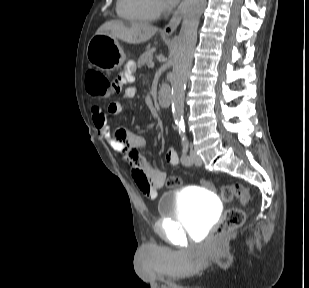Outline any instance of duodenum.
<instances>
[{"label":"duodenum","instance_id":"1","mask_svg":"<svg viewBox=\"0 0 309 288\" xmlns=\"http://www.w3.org/2000/svg\"><path fill=\"white\" fill-rule=\"evenodd\" d=\"M172 101V94L167 86H162L158 96V104L162 108H168Z\"/></svg>","mask_w":309,"mask_h":288}]
</instances>
